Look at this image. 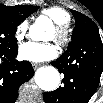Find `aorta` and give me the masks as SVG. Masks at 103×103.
Returning <instances> with one entry per match:
<instances>
[{
  "label": "aorta",
  "mask_w": 103,
  "mask_h": 103,
  "mask_svg": "<svg viewBox=\"0 0 103 103\" xmlns=\"http://www.w3.org/2000/svg\"><path fill=\"white\" fill-rule=\"evenodd\" d=\"M36 25H39L37 22ZM60 75L56 68L48 66L39 68L35 73V82L44 91H54L57 89Z\"/></svg>",
  "instance_id": "aorta-1"
}]
</instances>
